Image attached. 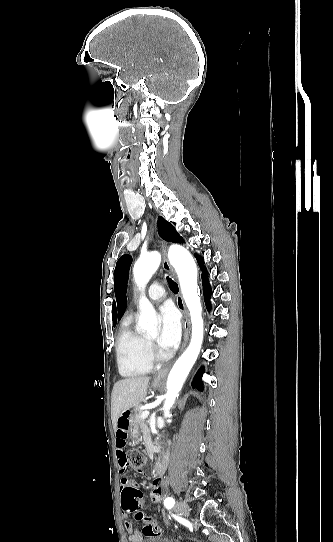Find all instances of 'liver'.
Masks as SVG:
<instances>
[{
  "instance_id": "6515ba94",
  "label": "liver",
  "mask_w": 333,
  "mask_h": 542,
  "mask_svg": "<svg viewBox=\"0 0 333 542\" xmlns=\"http://www.w3.org/2000/svg\"><path fill=\"white\" fill-rule=\"evenodd\" d=\"M150 380L151 378L147 376H130L114 384L111 396V420L114 432H117V422L121 414L130 408H138L145 400Z\"/></svg>"
}]
</instances>
